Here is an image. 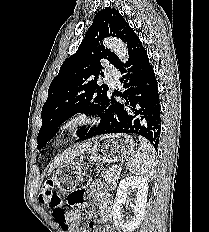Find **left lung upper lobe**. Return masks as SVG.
I'll list each match as a JSON object with an SVG mask.
<instances>
[{"mask_svg":"<svg viewBox=\"0 0 209 232\" xmlns=\"http://www.w3.org/2000/svg\"><path fill=\"white\" fill-rule=\"evenodd\" d=\"M108 36L120 38L127 44L128 51L139 39L118 10L105 8L95 15L77 52L64 61L49 86L37 139L39 150L55 136L58 126L74 114L100 117L104 112L109 88L97 85L99 76H103L101 62L108 60L116 68L122 64L117 55L101 44ZM89 130H78L77 136L84 139Z\"/></svg>","mask_w":209,"mask_h":232,"instance_id":"left-lung-upper-lobe-1","label":"left lung upper lobe"}]
</instances>
